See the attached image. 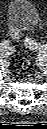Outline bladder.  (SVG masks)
Here are the masks:
<instances>
[{
  "label": "bladder",
  "instance_id": "1",
  "mask_svg": "<svg viewBox=\"0 0 47 129\" xmlns=\"http://www.w3.org/2000/svg\"><path fill=\"white\" fill-rule=\"evenodd\" d=\"M7 21L19 34H24L37 29L40 15L30 0H12L7 7Z\"/></svg>",
  "mask_w": 47,
  "mask_h": 129
}]
</instances>
